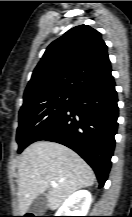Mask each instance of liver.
Instances as JSON below:
<instances>
[{
    "label": "liver",
    "instance_id": "6515ba94",
    "mask_svg": "<svg viewBox=\"0 0 132 217\" xmlns=\"http://www.w3.org/2000/svg\"><path fill=\"white\" fill-rule=\"evenodd\" d=\"M19 214L23 216L32 201L47 191V207L55 210L75 191L92 186L91 167L70 148L49 141L28 146L18 164ZM57 183L56 187L51 182Z\"/></svg>",
    "mask_w": 132,
    "mask_h": 217
}]
</instances>
